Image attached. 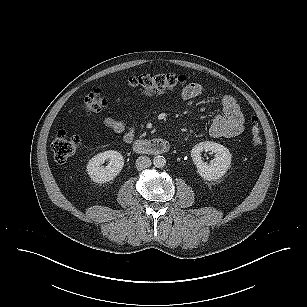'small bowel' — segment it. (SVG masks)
I'll use <instances>...</instances> for the list:
<instances>
[{"label":"small bowel","instance_id":"c3829d8e","mask_svg":"<svg viewBox=\"0 0 307 307\" xmlns=\"http://www.w3.org/2000/svg\"><path fill=\"white\" fill-rule=\"evenodd\" d=\"M205 93V88L199 83H190L182 91V98L185 100L195 99ZM124 101L132 102L131 99ZM222 113L215 115L209 126V134L213 138H234L239 136L245 126V119L241 108L230 95L221 98ZM103 125L115 134L121 135L126 143H131L135 138V127L128 126L124 121L112 117H105Z\"/></svg>","mask_w":307,"mask_h":307}]
</instances>
